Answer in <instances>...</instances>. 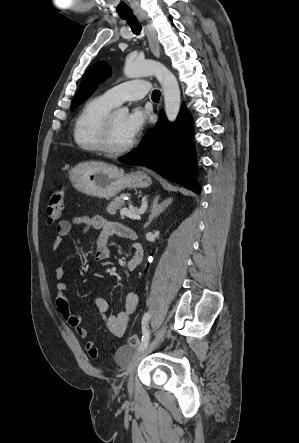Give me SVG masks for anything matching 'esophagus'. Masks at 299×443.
<instances>
[{
  "label": "esophagus",
  "mask_w": 299,
  "mask_h": 443,
  "mask_svg": "<svg viewBox=\"0 0 299 443\" xmlns=\"http://www.w3.org/2000/svg\"><path fill=\"white\" fill-rule=\"evenodd\" d=\"M138 20L142 23L145 33L147 35V39L149 42L150 49L152 53L156 56H160V45L157 39L156 31L151 24L149 18L147 17L146 13L143 10H137L135 12Z\"/></svg>",
  "instance_id": "obj_1"
}]
</instances>
